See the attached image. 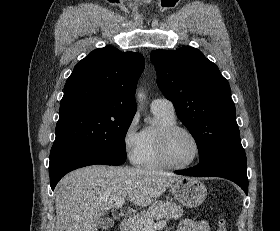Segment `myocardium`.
Listing matches in <instances>:
<instances>
[{"instance_id": "1", "label": "myocardium", "mask_w": 280, "mask_h": 231, "mask_svg": "<svg viewBox=\"0 0 280 231\" xmlns=\"http://www.w3.org/2000/svg\"><path fill=\"white\" fill-rule=\"evenodd\" d=\"M177 132H185L189 134L195 141L196 146H197V153L195 159L184 165H179L174 163L168 152V143L170 138ZM156 143H157V153H158V158L159 160L166 166L172 169H177V170H182V169H188L193 166H195L201 159L202 153H203V146L201 143V140L197 136V134L190 128L179 125V124H173V125H165L162 126L156 137Z\"/></svg>"}]
</instances>
